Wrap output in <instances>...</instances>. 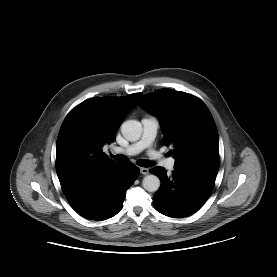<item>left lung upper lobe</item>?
Returning <instances> with one entry per match:
<instances>
[{
    "instance_id": "1",
    "label": "left lung upper lobe",
    "mask_w": 277,
    "mask_h": 277,
    "mask_svg": "<svg viewBox=\"0 0 277 277\" xmlns=\"http://www.w3.org/2000/svg\"><path fill=\"white\" fill-rule=\"evenodd\" d=\"M139 105L158 116L163 141L172 145L175 169H219L218 132L206 105L197 97L172 89L143 96Z\"/></svg>"
}]
</instances>
